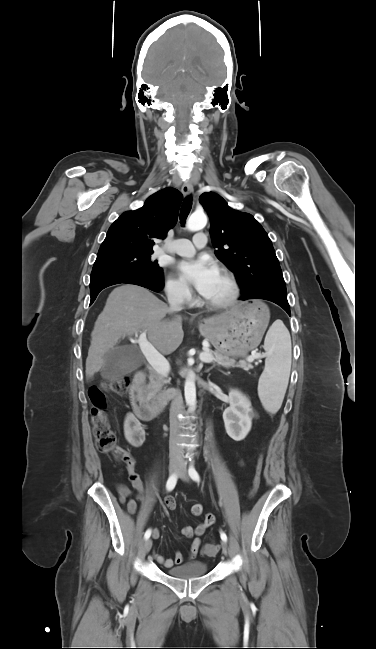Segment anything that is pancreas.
<instances>
[{
	"instance_id": "obj_1",
	"label": "pancreas",
	"mask_w": 376,
	"mask_h": 649,
	"mask_svg": "<svg viewBox=\"0 0 376 649\" xmlns=\"http://www.w3.org/2000/svg\"><path fill=\"white\" fill-rule=\"evenodd\" d=\"M205 353L213 354L215 356L213 363L223 366L225 368H230V367L232 368L239 367L243 369H245L246 367L253 368L251 364H248L245 361H240L239 363H236L234 359H230L228 356H224L219 352H213L211 350L204 349L201 354H205ZM149 380L150 382L147 386V398L149 400H160L165 394L163 388L166 384L170 382V380L167 379L166 375L160 374L155 370L150 371Z\"/></svg>"
}]
</instances>
